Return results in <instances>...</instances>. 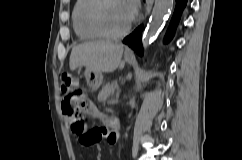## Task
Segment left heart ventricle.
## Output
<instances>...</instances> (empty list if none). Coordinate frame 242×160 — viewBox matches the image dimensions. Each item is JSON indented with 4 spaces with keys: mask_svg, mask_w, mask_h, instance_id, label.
Instances as JSON below:
<instances>
[{
    "mask_svg": "<svg viewBox=\"0 0 242 160\" xmlns=\"http://www.w3.org/2000/svg\"><path fill=\"white\" fill-rule=\"evenodd\" d=\"M132 18L124 0H107L101 10V22L111 34L122 32Z\"/></svg>",
    "mask_w": 242,
    "mask_h": 160,
    "instance_id": "b2bd125f",
    "label": "left heart ventricle"
}]
</instances>
